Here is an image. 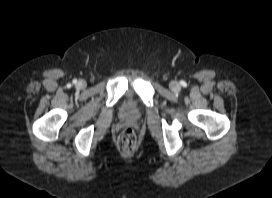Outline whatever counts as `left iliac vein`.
<instances>
[{
    "mask_svg": "<svg viewBox=\"0 0 272 198\" xmlns=\"http://www.w3.org/2000/svg\"><path fill=\"white\" fill-rule=\"evenodd\" d=\"M170 88L173 90V91H179L180 90V84L177 82V81H172L170 83Z\"/></svg>",
    "mask_w": 272,
    "mask_h": 198,
    "instance_id": "left-iliac-vein-1",
    "label": "left iliac vein"
}]
</instances>
